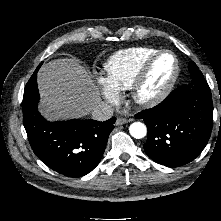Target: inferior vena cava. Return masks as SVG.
Segmentation results:
<instances>
[{"label": "inferior vena cava", "instance_id": "obj_1", "mask_svg": "<svg viewBox=\"0 0 221 221\" xmlns=\"http://www.w3.org/2000/svg\"><path fill=\"white\" fill-rule=\"evenodd\" d=\"M114 109L111 105L99 102L91 111L92 118L97 121H106L113 116Z\"/></svg>", "mask_w": 221, "mask_h": 221}]
</instances>
